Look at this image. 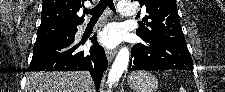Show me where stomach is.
<instances>
[{"instance_id": "1", "label": "stomach", "mask_w": 225, "mask_h": 92, "mask_svg": "<svg viewBox=\"0 0 225 92\" xmlns=\"http://www.w3.org/2000/svg\"><path fill=\"white\" fill-rule=\"evenodd\" d=\"M128 85L135 92H156L158 80L149 71H133L129 75Z\"/></svg>"}]
</instances>
